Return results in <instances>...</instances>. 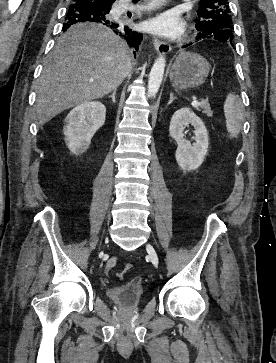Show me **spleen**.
<instances>
[{"instance_id":"obj_1","label":"spleen","mask_w":276,"mask_h":363,"mask_svg":"<svg viewBox=\"0 0 276 363\" xmlns=\"http://www.w3.org/2000/svg\"><path fill=\"white\" fill-rule=\"evenodd\" d=\"M243 111L244 107L239 96L229 93L224 102V114L227 131L233 137H236L240 132L244 119Z\"/></svg>"}]
</instances>
